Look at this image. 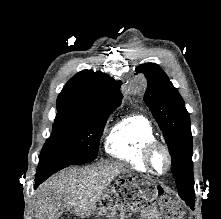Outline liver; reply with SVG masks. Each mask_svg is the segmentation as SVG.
Listing matches in <instances>:
<instances>
[{
	"label": "liver",
	"mask_w": 221,
	"mask_h": 219,
	"mask_svg": "<svg viewBox=\"0 0 221 219\" xmlns=\"http://www.w3.org/2000/svg\"><path fill=\"white\" fill-rule=\"evenodd\" d=\"M128 169L121 163L63 170L45 181L36 193L37 219H59L65 210L89 215L108 185Z\"/></svg>",
	"instance_id": "obj_1"
}]
</instances>
